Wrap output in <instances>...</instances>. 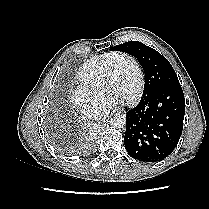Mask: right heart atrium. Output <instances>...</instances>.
I'll return each instance as SVG.
<instances>
[{"instance_id": "1", "label": "right heart atrium", "mask_w": 209, "mask_h": 209, "mask_svg": "<svg viewBox=\"0 0 209 209\" xmlns=\"http://www.w3.org/2000/svg\"><path fill=\"white\" fill-rule=\"evenodd\" d=\"M71 101L77 109L89 117H99L106 108L105 98L98 93L77 86L71 91Z\"/></svg>"}]
</instances>
